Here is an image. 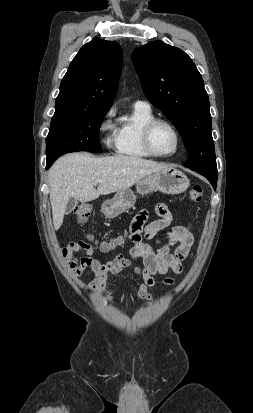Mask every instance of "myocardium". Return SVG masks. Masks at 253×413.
Masks as SVG:
<instances>
[{
	"label": "myocardium",
	"mask_w": 253,
	"mask_h": 413,
	"mask_svg": "<svg viewBox=\"0 0 253 413\" xmlns=\"http://www.w3.org/2000/svg\"><path fill=\"white\" fill-rule=\"evenodd\" d=\"M159 124H164L168 126L174 133L175 138H176V147L173 152L169 154H160L155 151L153 144H152V132L154 128L159 125ZM181 135L177 127L169 120L164 119V118H153L150 121H148L142 128V144L144 146V149L147 151L148 154H150L153 157H158V158H169L174 155H176L180 148H181Z\"/></svg>",
	"instance_id": "obj_1"
}]
</instances>
